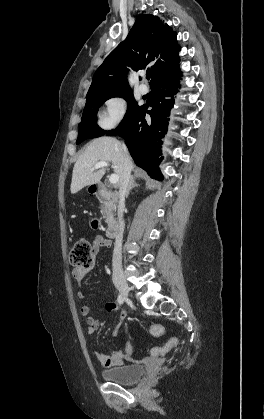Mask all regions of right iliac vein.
Returning a JSON list of instances; mask_svg holds the SVG:
<instances>
[{"label":"right iliac vein","instance_id":"obj_1","mask_svg":"<svg viewBox=\"0 0 264 419\" xmlns=\"http://www.w3.org/2000/svg\"><path fill=\"white\" fill-rule=\"evenodd\" d=\"M114 284L117 287V289L119 290V292L121 293V295L125 299H128V297H129V287H128L126 281L120 276H115L114 277Z\"/></svg>","mask_w":264,"mask_h":419}]
</instances>
